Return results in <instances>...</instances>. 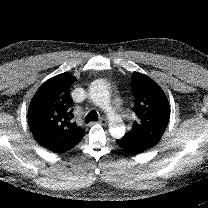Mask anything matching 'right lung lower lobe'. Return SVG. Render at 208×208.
I'll use <instances>...</instances> for the list:
<instances>
[{"label": "right lung lower lobe", "instance_id": "right-lung-lower-lobe-1", "mask_svg": "<svg viewBox=\"0 0 208 208\" xmlns=\"http://www.w3.org/2000/svg\"><path fill=\"white\" fill-rule=\"evenodd\" d=\"M78 143H79V142H78ZM78 143H76L75 145H77ZM75 145H73V146H71V147H69V148H67V149H64V150H62V151H60V152H58V153L66 152V151L70 150L71 148H73Z\"/></svg>", "mask_w": 208, "mask_h": 208}]
</instances>
